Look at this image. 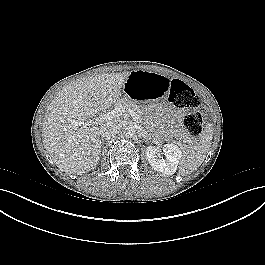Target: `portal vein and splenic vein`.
<instances>
[{
  "mask_svg": "<svg viewBox=\"0 0 265 265\" xmlns=\"http://www.w3.org/2000/svg\"><path fill=\"white\" fill-rule=\"evenodd\" d=\"M125 110L128 111V113L133 117V119H138V116L136 115V113L133 110H131L130 108L125 109L122 106H118V107H115L110 112H107V113H105V114H103V115H101V116H99V117H97V118H95L93 120H90L88 122L73 121L72 124L75 127H78V126H91V125L98 126V125L103 124L106 121H110V120L119 118L120 116L123 115Z\"/></svg>",
  "mask_w": 265,
  "mask_h": 265,
  "instance_id": "portal-vein-and-splenic-vein-1",
  "label": "portal vein and splenic vein"
}]
</instances>
